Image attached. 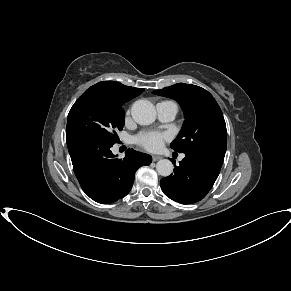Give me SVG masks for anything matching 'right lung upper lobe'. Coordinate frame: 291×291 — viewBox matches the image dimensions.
Here are the masks:
<instances>
[{
  "mask_svg": "<svg viewBox=\"0 0 291 291\" xmlns=\"http://www.w3.org/2000/svg\"><path fill=\"white\" fill-rule=\"evenodd\" d=\"M87 91L105 94L112 99L125 103L140 95L144 91V89L125 86L119 82L106 81L99 82L91 86Z\"/></svg>",
  "mask_w": 291,
  "mask_h": 291,
  "instance_id": "right-lung-upper-lobe-1",
  "label": "right lung upper lobe"
}]
</instances>
